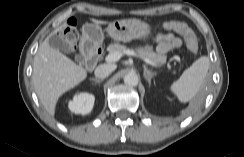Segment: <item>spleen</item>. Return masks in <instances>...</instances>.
Segmentation results:
<instances>
[{
  "instance_id": "1",
  "label": "spleen",
  "mask_w": 244,
  "mask_h": 157,
  "mask_svg": "<svg viewBox=\"0 0 244 157\" xmlns=\"http://www.w3.org/2000/svg\"><path fill=\"white\" fill-rule=\"evenodd\" d=\"M209 68V58L201 56L172 83L170 91L180 102L190 101L202 87Z\"/></svg>"
}]
</instances>
